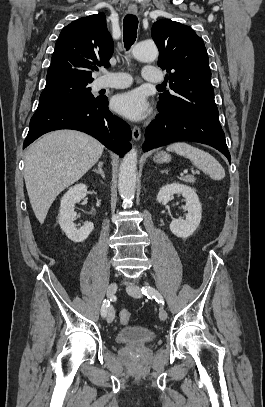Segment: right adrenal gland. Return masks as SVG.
<instances>
[{"mask_svg": "<svg viewBox=\"0 0 265 407\" xmlns=\"http://www.w3.org/2000/svg\"><path fill=\"white\" fill-rule=\"evenodd\" d=\"M102 167H103V162L100 161V162L98 163V168H97V169H93V172H95V173H97V174H100L101 177L104 179V178H105V174H104V171H103Z\"/></svg>", "mask_w": 265, "mask_h": 407, "instance_id": "1", "label": "right adrenal gland"}]
</instances>
